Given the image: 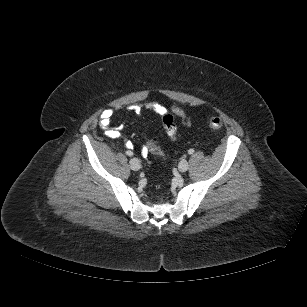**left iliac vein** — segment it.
I'll return each mask as SVG.
<instances>
[{"label":"left iliac vein","mask_w":307,"mask_h":307,"mask_svg":"<svg viewBox=\"0 0 307 307\" xmlns=\"http://www.w3.org/2000/svg\"><path fill=\"white\" fill-rule=\"evenodd\" d=\"M188 167H189V164H188V161L186 159H182L180 162H179V165H178V169L180 172H185L188 170Z\"/></svg>","instance_id":"1"}]
</instances>
